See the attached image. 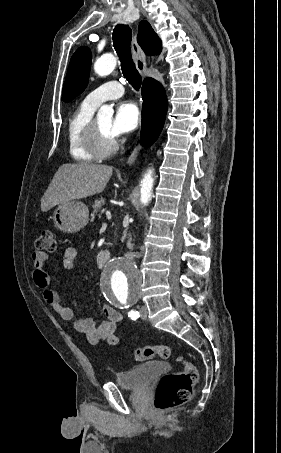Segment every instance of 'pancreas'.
Masks as SVG:
<instances>
[{
    "instance_id": "obj_1",
    "label": "pancreas",
    "mask_w": 281,
    "mask_h": 453,
    "mask_svg": "<svg viewBox=\"0 0 281 453\" xmlns=\"http://www.w3.org/2000/svg\"><path fill=\"white\" fill-rule=\"evenodd\" d=\"M103 204H105V198H103V196H101V198H99V200H94V204H92L91 216H94V214H96V212H100V214H99V218H100L101 212H104V210H105V208H103Z\"/></svg>"
}]
</instances>
